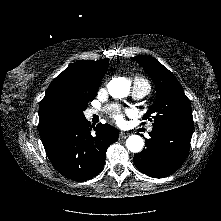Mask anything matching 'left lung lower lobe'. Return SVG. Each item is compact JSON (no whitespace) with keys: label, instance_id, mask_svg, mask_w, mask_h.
Wrapping results in <instances>:
<instances>
[{"label":"left lung lower lobe","instance_id":"0a47b994","mask_svg":"<svg viewBox=\"0 0 221 221\" xmlns=\"http://www.w3.org/2000/svg\"><path fill=\"white\" fill-rule=\"evenodd\" d=\"M149 135L146 148L134 156L137 169L153 178L173 174L188 155L192 131L155 127Z\"/></svg>","mask_w":221,"mask_h":221}]
</instances>
